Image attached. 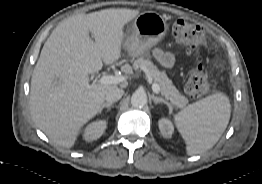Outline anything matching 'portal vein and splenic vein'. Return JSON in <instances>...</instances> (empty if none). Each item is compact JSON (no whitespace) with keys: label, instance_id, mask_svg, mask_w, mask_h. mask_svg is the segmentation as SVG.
Instances as JSON below:
<instances>
[{"label":"portal vein and splenic vein","instance_id":"portal-vein-and-splenic-vein-1","mask_svg":"<svg viewBox=\"0 0 262 184\" xmlns=\"http://www.w3.org/2000/svg\"><path fill=\"white\" fill-rule=\"evenodd\" d=\"M126 80L125 76H118V75H103L100 77L99 82L101 84H118ZM152 90L154 93L160 92V87L158 84H152Z\"/></svg>","mask_w":262,"mask_h":184}]
</instances>
